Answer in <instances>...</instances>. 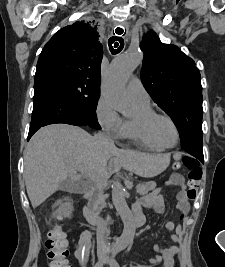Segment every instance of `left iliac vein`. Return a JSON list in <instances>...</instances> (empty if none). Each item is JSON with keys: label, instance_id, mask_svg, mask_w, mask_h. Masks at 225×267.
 I'll use <instances>...</instances> for the list:
<instances>
[{"label": "left iliac vein", "instance_id": "left-iliac-vein-1", "mask_svg": "<svg viewBox=\"0 0 225 267\" xmlns=\"http://www.w3.org/2000/svg\"><path fill=\"white\" fill-rule=\"evenodd\" d=\"M103 263L110 265V267H112L111 260L106 255L103 257Z\"/></svg>", "mask_w": 225, "mask_h": 267}]
</instances>
